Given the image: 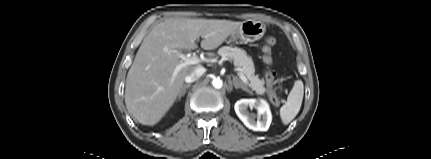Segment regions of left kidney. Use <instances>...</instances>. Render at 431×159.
Instances as JSON below:
<instances>
[{"mask_svg": "<svg viewBox=\"0 0 431 159\" xmlns=\"http://www.w3.org/2000/svg\"><path fill=\"white\" fill-rule=\"evenodd\" d=\"M248 107L255 108L256 115L248 111ZM235 112L246 127L254 131H267L272 121V115L268 103L263 99H241L235 103Z\"/></svg>", "mask_w": 431, "mask_h": 159, "instance_id": "1", "label": "left kidney"}]
</instances>
